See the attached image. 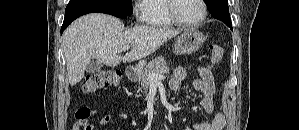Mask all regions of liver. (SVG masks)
<instances>
[{"mask_svg": "<svg viewBox=\"0 0 299 130\" xmlns=\"http://www.w3.org/2000/svg\"><path fill=\"white\" fill-rule=\"evenodd\" d=\"M180 30L136 26L124 29L121 20L101 13L84 15L75 20L63 33V53L68 81L71 86L80 82L87 65L96 59L106 66L132 62L154 53ZM123 46H131L124 56L118 54Z\"/></svg>", "mask_w": 299, "mask_h": 130, "instance_id": "1", "label": "liver"}]
</instances>
